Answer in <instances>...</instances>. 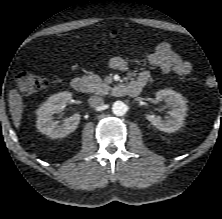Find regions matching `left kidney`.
Returning a JSON list of instances; mask_svg holds the SVG:
<instances>
[{
    "label": "left kidney",
    "instance_id": "left-kidney-1",
    "mask_svg": "<svg viewBox=\"0 0 222 219\" xmlns=\"http://www.w3.org/2000/svg\"><path fill=\"white\" fill-rule=\"evenodd\" d=\"M158 101H165L170 107V117L162 120L160 116L146 114V119L153 126L163 132L173 133L179 130L184 122L187 106L181 94L170 89L160 90L156 93Z\"/></svg>",
    "mask_w": 222,
    "mask_h": 219
}]
</instances>
